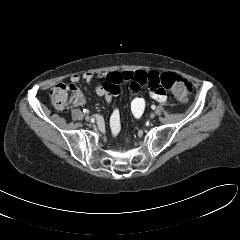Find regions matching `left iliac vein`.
<instances>
[{
    "label": "left iliac vein",
    "mask_w": 240,
    "mask_h": 240,
    "mask_svg": "<svg viewBox=\"0 0 240 240\" xmlns=\"http://www.w3.org/2000/svg\"><path fill=\"white\" fill-rule=\"evenodd\" d=\"M155 117V113H152L151 115H150V118H154Z\"/></svg>",
    "instance_id": "left-iliac-vein-1"
}]
</instances>
